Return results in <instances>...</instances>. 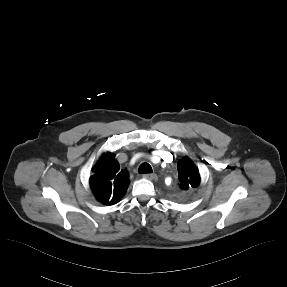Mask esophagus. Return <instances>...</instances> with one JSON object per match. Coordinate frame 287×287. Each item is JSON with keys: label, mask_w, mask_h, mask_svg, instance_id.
<instances>
[{"label": "esophagus", "mask_w": 287, "mask_h": 287, "mask_svg": "<svg viewBox=\"0 0 287 287\" xmlns=\"http://www.w3.org/2000/svg\"><path fill=\"white\" fill-rule=\"evenodd\" d=\"M144 178L149 180H157V175L155 173H147L143 175Z\"/></svg>", "instance_id": "obj_1"}]
</instances>
